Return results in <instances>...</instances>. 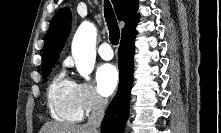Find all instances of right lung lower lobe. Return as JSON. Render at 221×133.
Segmentation results:
<instances>
[{"mask_svg": "<svg viewBox=\"0 0 221 133\" xmlns=\"http://www.w3.org/2000/svg\"><path fill=\"white\" fill-rule=\"evenodd\" d=\"M137 32L121 38L118 50L119 88L101 124L102 133H123L130 108V89L133 79L134 40Z\"/></svg>", "mask_w": 221, "mask_h": 133, "instance_id": "right-lung-lower-lobe-1", "label": "right lung lower lobe"}]
</instances>
